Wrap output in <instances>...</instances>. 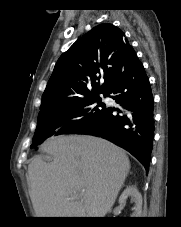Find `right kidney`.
Returning a JSON list of instances; mask_svg holds the SVG:
<instances>
[{"instance_id":"1","label":"right kidney","mask_w":181,"mask_h":227,"mask_svg":"<svg viewBox=\"0 0 181 227\" xmlns=\"http://www.w3.org/2000/svg\"><path fill=\"white\" fill-rule=\"evenodd\" d=\"M130 197L131 202L135 205L133 207V213L131 217H140L142 213V196L139 193L138 189L134 185L127 186L126 189L122 192L121 196L119 197V204L120 206L125 205L126 199Z\"/></svg>"}]
</instances>
